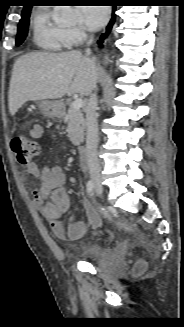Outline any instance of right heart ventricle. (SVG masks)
Returning a JSON list of instances; mask_svg holds the SVG:
<instances>
[{"label": "right heart ventricle", "mask_w": 184, "mask_h": 327, "mask_svg": "<svg viewBox=\"0 0 184 327\" xmlns=\"http://www.w3.org/2000/svg\"><path fill=\"white\" fill-rule=\"evenodd\" d=\"M31 28L33 41L38 47L50 51H61L69 47L67 28L55 20L49 9L42 8L35 12Z\"/></svg>", "instance_id": "obj_1"}]
</instances>
